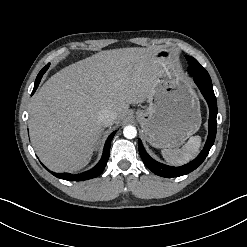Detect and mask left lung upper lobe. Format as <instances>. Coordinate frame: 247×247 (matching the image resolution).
I'll return each mask as SVG.
<instances>
[{"mask_svg":"<svg viewBox=\"0 0 247 247\" xmlns=\"http://www.w3.org/2000/svg\"><path fill=\"white\" fill-rule=\"evenodd\" d=\"M186 59L188 60L190 67L195 70V73L197 75L202 78L210 79L208 72L199 64V62L195 58L186 56Z\"/></svg>","mask_w":247,"mask_h":247,"instance_id":"left-lung-upper-lobe-1","label":"left lung upper lobe"}]
</instances>
